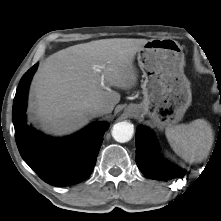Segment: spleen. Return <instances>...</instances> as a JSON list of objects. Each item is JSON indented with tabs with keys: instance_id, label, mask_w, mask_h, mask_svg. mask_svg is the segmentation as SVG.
Returning a JSON list of instances; mask_svg holds the SVG:
<instances>
[{
	"instance_id": "obj_1",
	"label": "spleen",
	"mask_w": 221,
	"mask_h": 221,
	"mask_svg": "<svg viewBox=\"0 0 221 221\" xmlns=\"http://www.w3.org/2000/svg\"><path fill=\"white\" fill-rule=\"evenodd\" d=\"M165 135L173 151L190 163L205 159L214 141L213 130L204 119L169 126Z\"/></svg>"
}]
</instances>
